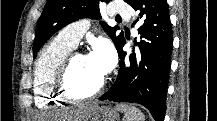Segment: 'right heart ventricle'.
Returning <instances> with one entry per match:
<instances>
[{
  "label": "right heart ventricle",
  "instance_id": "right-heart-ventricle-1",
  "mask_svg": "<svg viewBox=\"0 0 217 121\" xmlns=\"http://www.w3.org/2000/svg\"><path fill=\"white\" fill-rule=\"evenodd\" d=\"M73 48L74 46L57 36L41 50L33 75L35 103L38 107L49 108L62 102L55 93L53 81L58 68Z\"/></svg>",
  "mask_w": 217,
  "mask_h": 121
}]
</instances>
